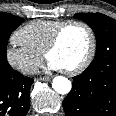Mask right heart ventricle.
<instances>
[{
  "mask_svg": "<svg viewBox=\"0 0 116 116\" xmlns=\"http://www.w3.org/2000/svg\"><path fill=\"white\" fill-rule=\"evenodd\" d=\"M64 20H35L20 28L16 36L18 39L36 53H43L49 44L56 29Z\"/></svg>",
  "mask_w": 116,
  "mask_h": 116,
  "instance_id": "1",
  "label": "right heart ventricle"
}]
</instances>
